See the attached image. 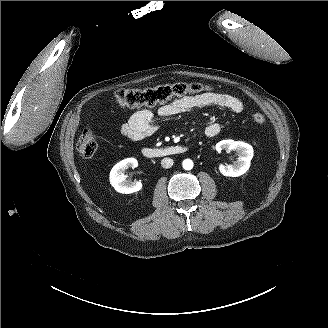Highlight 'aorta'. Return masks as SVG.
Here are the masks:
<instances>
[{
  "instance_id": "obj_1",
  "label": "aorta",
  "mask_w": 328,
  "mask_h": 328,
  "mask_svg": "<svg viewBox=\"0 0 328 328\" xmlns=\"http://www.w3.org/2000/svg\"><path fill=\"white\" fill-rule=\"evenodd\" d=\"M182 167L185 170H191L193 168V161L191 159H185L182 163Z\"/></svg>"
}]
</instances>
